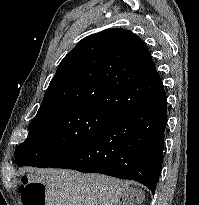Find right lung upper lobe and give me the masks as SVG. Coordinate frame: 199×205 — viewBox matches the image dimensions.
Segmentation results:
<instances>
[{"label": "right lung upper lobe", "instance_id": "cb5924a9", "mask_svg": "<svg viewBox=\"0 0 199 205\" xmlns=\"http://www.w3.org/2000/svg\"><path fill=\"white\" fill-rule=\"evenodd\" d=\"M157 77L146 44L129 30L109 28L85 37L63 58L38 111L85 105L119 115L145 97L132 85Z\"/></svg>", "mask_w": 199, "mask_h": 205}]
</instances>
